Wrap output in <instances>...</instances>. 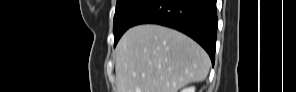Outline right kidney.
Instances as JSON below:
<instances>
[{
  "instance_id": "ca27d5eb",
  "label": "right kidney",
  "mask_w": 296,
  "mask_h": 92,
  "mask_svg": "<svg viewBox=\"0 0 296 92\" xmlns=\"http://www.w3.org/2000/svg\"><path fill=\"white\" fill-rule=\"evenodd\" d=\"M181 92H195V87H187L181 90Z\"/></svg>"
}]
</instances>
